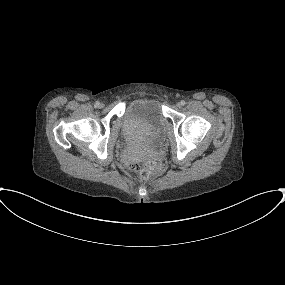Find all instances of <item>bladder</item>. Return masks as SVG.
Segmentation results:
<instances>
[{
  "instance_id": "31cf9c89",
  "label": "bladder",
  "mask_w": 285,
  "mask_h": 285,
  "mask_svg": "<svg viewBox=\"0 0 285 285\" xmlns=\"http://www.w3.org/2000/svg\"><path fill=\"white\" fill-rule=\"evenodd\" d=\"M165 126L166 119L156 99H137L126 107L120 136L128 152L143 145L148 149V155H153L167 144Z\"/></svg>"
}]
</instances>
